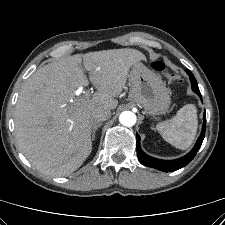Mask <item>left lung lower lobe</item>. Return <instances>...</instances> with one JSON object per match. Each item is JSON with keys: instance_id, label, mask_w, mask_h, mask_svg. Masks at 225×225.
<instances>
[{"instance_id": "left-lung-lower-lobe-1", "label": "left lung lower lobe", "mask_w": 225, "mask_h": 225, "mask_svg": "<svg viewBox=\"0 0 225 225\" xmlns=\"http://www.w3.org/2000/svg\"><path fill=\"white\" fill-rule=\"evenodd\" d=\"M187 74L190 77L191 80V85H192V90L196 92L199 96H201V93L198 88L197 81L194 77V75L189 71L186 70ZM205 130H206V114L204 113V122L202 126V132L200 137L198 138L194 148L184 157H181L176 160H160L156 159L153 157L148 156L145 154L140 147V136L137 134V154H138V160L140 161L141 164L148 166V167H153L158 170L164 171V172H173L176 171L184 166H186L196 155L198 152L199 148L202 145L204 136H205Z\"/></svg>"}]
</instances>
